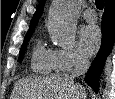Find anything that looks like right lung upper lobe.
Returning <instances> with one entry per match:
<instances>
[{
    "label": "right lung upper lobe",
    "mask_w": 115,
    "mask_h": 99,
    "mask_svg": "<svg viewBox=\"0 0 115 99\" xmlns=\"http://www.w3.org/2000/svg\"><path fill=\"white\" fill-rule=\"evenodd\" d=\"M112 1L114 2V0H106L105 4L110 3ZM44 3H45V0H40L38 8H37L36 12L34 13L33 18L31 20L30 28H29L27 34L33 33L35 26L37 24V21L39 20V18L41 17V14L43 12Z\"/></svg>",
    "instance_id": "cb5924a9"
}]
</instances>
